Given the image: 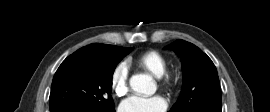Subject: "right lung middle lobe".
Returning <instances> with one entry per match:
<instances>
[{
	"label": "right lung middle lobe",
	"mask_w": 270,
	"mask_h": 112,
	"mask_svg": "<svg viewBox=\"0 0 270 112\" xmlns=\"http://www.w3.org/2000/svg\"><path fill=\"white\" fill-rule=\"evenodd\" d=\"M133 48L99 44L68 56L56 71L49 98L50 110L65 107L114 110L111 97L116 64Z\"/></svg>",
	"instance_id": "dd1d6c3e"
}]
</instances>
